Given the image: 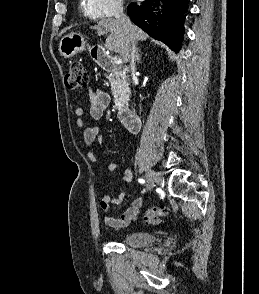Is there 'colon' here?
Listing matches in <instances>:
<instances>
[{"label": "colon", "instance_id": "obj_1", "mask_svg": "<svg viewBox=\"0 0 259 294\" xmlns=\"http://www.w3.org/2000/svg\"><path fill=\"white\" fill-rule=\"evenodd\" d=\"M88 77L84 66L79 61H74L70 64L69 70L65 75V85L69 89L82 88L87 85ZM170 209L166 206L152 207L147 210L144 220L148 224L157 225L162 218L168 215Z\"/></svg>", "mask_w": 259, "mask_h": 294}]
</instances>
